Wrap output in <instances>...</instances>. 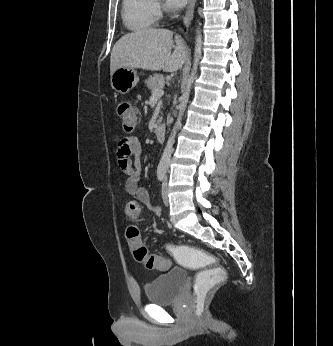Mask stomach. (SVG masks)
<instances>
[{"instance_id":"stomach-1","label":"stomach","mask_w":333,"mask_h":346,"mask_svg":"<svg viewBox=\"0 0 333 346\" xmlns=\"http://www.w3.org/2000/svg\"><path fill=\"white\" fill-rule=\"evenodd\" d=\"M139 81L136 71L133 68L120 67L111 74V86L120 93L126 94L133 89Z\"/></svg>"}]
</instances>
